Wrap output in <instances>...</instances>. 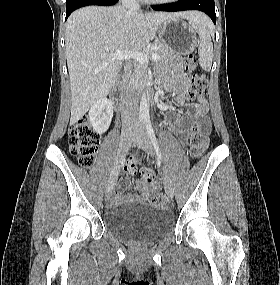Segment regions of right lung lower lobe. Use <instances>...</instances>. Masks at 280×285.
Masks as SVG:
<instances>
[{
    "label": "right lung lower lobe",
    "mask_w": 280,
    "mask_h": 285,
    "mask_svg": "<svg viewBox=\"0 0 280 285\" xmlns=\"http://www.w3.org/2000/svg\"><path fill=\"white\" fill-rule=\"evenodd\" d=\"M119 0H66V19L76 9L89 5L110 6L115 5Z\"/></svg>",
    "instance_id": "right-lung-lower-lobe-1"
}]
</instances>
